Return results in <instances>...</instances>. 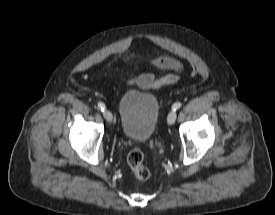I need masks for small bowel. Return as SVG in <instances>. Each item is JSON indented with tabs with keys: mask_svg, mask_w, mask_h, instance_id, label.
Returning <instances> with one entry per match:
<instances>
[{
	"mask_svg": "<svg viewBox=\"0 0 275 215\" xmlns=\"http://www.w3.org/2000/svg\"><path fill=\"white\" fill-rule=\"evenodd\" d=\"M150 68L151 70L142 73L138 78L129 79L127 84L143 90H156L165 84L178 81L180 78L178 73L184 69V64L173 57L156 56L150 61ZM153 70H170L173 73L156 78Z\"/></svg>",
	"mask_w": 275,
	"mask_h": 215,
	"instance_id": "small-bowel-1",
	"label": "small bowel"
}]
</instances>
